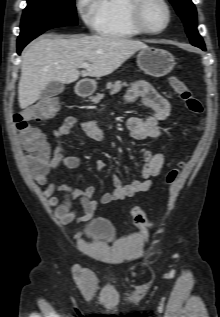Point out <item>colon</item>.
I'll use <instances>...</instances> for the list:
<instances>
[{
    "instance_id": "obj_1",
    "label": "colon",
    "mask_w": 220,
    "mask_h": 317,
    "mask_svg": "<svg viewBox=\"0 0 220 317\" xmlns=\"http://www.w3.org/2000/svg\"><path fill=\"white\" fill-rule=\"evenodd\" d=\"M170 84L190 112L198 115L202 114V104L193 96L191 90L182 79L172 76L170 77ZM58 109V99L48 97L36 102L14 116V124L19 133L20 142L28 154V165L32 167L43 168L49 162L50 149L42 132L34 127L31 122L50 119L57 113ZM183 166L184 162L177 168L169 171L166 178L168 184L176 180ZM131 215L138 226L142 228H149L151 226L146 214L140 208H133Z\"/></svg>"
}]
</instances>
